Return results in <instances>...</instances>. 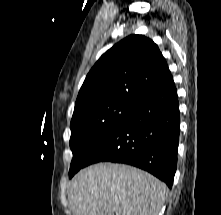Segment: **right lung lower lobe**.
<instances>
[{
    "instance_id": "right-lung-lower-lobe-1",
    "label": "right lung lower lobe",
    "mask_w": 221,
    "mask_h": 215,
    "mask_svg": "<svg viewBox=\"0 0 221 215\" xmlns=\"http://www.w3.org/2000/svg\"><path fill=\"white\" fill-rule=\"evenodd\" d=\"M179 133V102L172 81L135 102L92 152L86 166L103 161L129 164L148 171L171 188Z\"/></svg>"
}]
</instances>
